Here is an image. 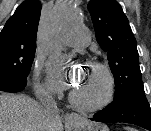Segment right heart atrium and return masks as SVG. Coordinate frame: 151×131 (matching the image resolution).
Wrapping results in <instances>:
<instances>
[{"label": "right heart atrium", "mask_w": 151, "mask_h": 131, "mask_svg": "<svg viewBox=\"0 0 151 131\" xmlns=\"http://www.w3.org/2000/svg\"><path fill=\"white\" fill-rule=\"evenodd\" d=\"M40 71H41V63L38 61L36 62V65H35V76H36L35 88H36V92L40 96H45L47 95L48 90H47L46 85L40 81V78H39Z\"/></svg>", "instance_id": "d8ad5b80"}]
</instances>
